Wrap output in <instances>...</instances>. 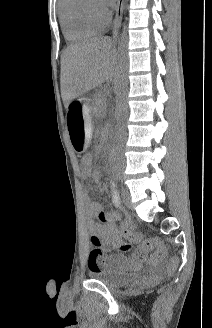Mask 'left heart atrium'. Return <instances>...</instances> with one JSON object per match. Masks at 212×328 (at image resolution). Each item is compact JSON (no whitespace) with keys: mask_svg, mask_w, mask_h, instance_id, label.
I'll return each mask as SVG.
<instances>
[{"mask_svg":"<svg viewBox=\"0 0 212 328\" xmlns=\"http://www.w3.org/2000/svg\"><path fill=\"white\" fill-rule=\"evenodd\" d=\"M107 5L111 6L114 4L115 0H105Z\"/></svg>","mask_w":212,"mask_h":328,"instance_id":"1","label":"left heart atrium"}]
</instances>
